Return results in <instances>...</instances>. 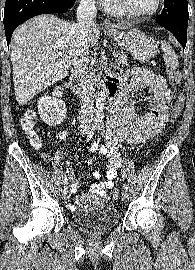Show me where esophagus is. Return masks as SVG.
<instances>
[{
	"label": "esophagus",
	"mask_w": 195,
	"mask_h": 270,
	"mask_svg": "<svg viewBox=\"0 0 195 270\" xmlns=\"http://www.w3.org/2000/svg\"><path fill=\"white\" fill-rule=\"evenodd\" d=\"M103 27H105L107 29H113L114 28V25H113V23L110 20L105 19L103 21Z\"/></svg>",
	"instance_id": "34e87169"
}]
</instances>
